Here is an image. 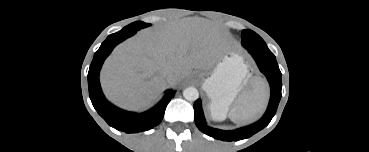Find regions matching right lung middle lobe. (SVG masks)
<instances>
[{
  "label": "right lung middle lobe",
  "mask_w": 369,
  "mask_h": 152,
  "mask_svg": "<svg viewBox=\"0 0 369 152\" xmlns=\"http://www.w3.org/2000/svg\"><path fill=\"white\" fill-rule=\"evenodd\" d=\"M149 25L150 24H146V23L141 22V21H136V22L131 23L130 25L124 27L122 30H139V29L145 28Z\"/></svg>",
  "instance_id": "right-lung-middle-lobe-1"
}]
</instances>
